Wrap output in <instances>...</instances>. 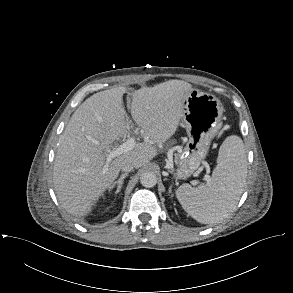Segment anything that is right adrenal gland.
<instances>
[{
	"label": "right adrenal gland",
	"mask_w": 293,
	"mask_h": 293,
	"mask_svg": "<svg viewBox=\"0 0 293 293\" xmlns=\"http://www.w3.org/2000/svg\"><path fill=\"white\" fill-rule=\"evenodd\" d=\"M127 175H128L127 173L122 174L121 177L111 185L110 191H112L117 186L115 194L119 193L122 188L124 178Z\"/></svg>",
	"instance_id": "2a0ac1e0"
}]
</instances>
